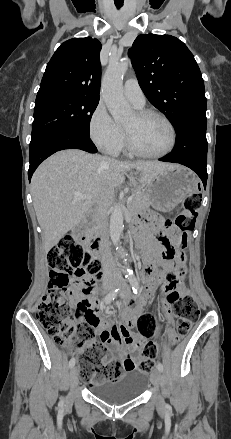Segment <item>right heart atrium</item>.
<instances>
[{
	"instance_id": "obj_1",
	"label": "right heart atrium",
	"mask_w": 231,
	"mask_h": 439,
	"mask_svg": "<svg viewBox=\"0 0 231 439\" xmlns=\"http://www.w3.org/2000/svg\"><path fill=\"white\" fill-rule=\"evenodd\" d=\"M88 131L92 142L110 153L118 151L124 141L122 128L113 120L102 102L96 105L90 116Z\"/></svg>"
}]
</instances>
